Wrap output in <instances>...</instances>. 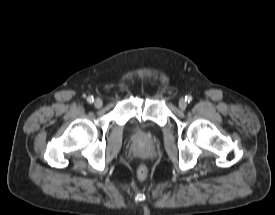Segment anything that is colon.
Returning a JSON list of instances; mask_svg holds the SVG:
<instances>
[{"mask_svg": "<svg viewBox=\"0 0 275 215\" xmlns=\"http://www.w3.org/2000/svg\"><path fill=\"white\" fill-rule=\"evenodd\" d=\"M136 175L143 180L148 176V168L145 165H139L136 169Z\"/></svg>", "mask_w": 275, "mask_h": 215, "instance_id": "obj_1", "label": "colon"}]
</instances>
